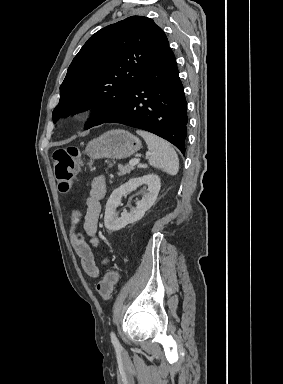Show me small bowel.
<instances>
[{
  "label": "small bowel",
  "mask_w": 283,
  "mask_h": 384,
  "mask_svg": "<svg viewBox=\"0 0 283 384\" xmlns=\"http://www.w3.org/2000/svg\"><path fill=\"white\" fill-rule=\"evenodd\" d=\"M89 195L86 199V212L84 214L83 229L91 237V244L72 236L73 248L80 259L84 272L90 277L96 278L99 275V267L95 261L93 248H98L99 240L96 236L98 218L100 215V201L106 193V182L103 176H95L88 183ZM81 214L73 213L72 230L76 229V222Z\"/></svg>",
  "instance_id": "1"
}]
</instances>
